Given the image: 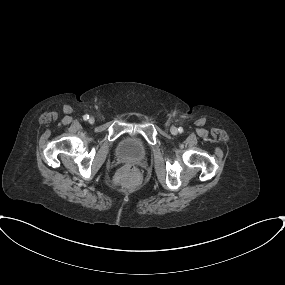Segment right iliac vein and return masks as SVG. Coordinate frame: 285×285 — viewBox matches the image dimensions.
I'll list each match as a JSON object with an SVG mask.
<instances>
[{
  "mask_svg": "<svg viewBox=\"0 0 285 285\" xmlns=\"http://www.w3.org/2000/svg\"><path fill=\"white\" fill-rule=\"evenodd\" d=\"M94 122H95L94 118L91 117V118L89 119V123H90V124H93Z\"/></svg>",
  "mask_w": 285,
  "mask_h": 285,
  "instance_id": "right-iliac-vein-1",
  "label": "right iliac vein"
}]
</instances>
